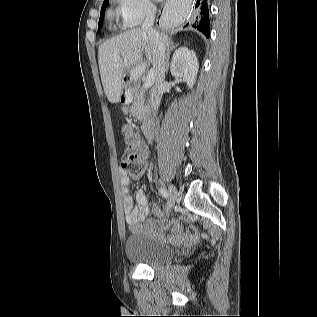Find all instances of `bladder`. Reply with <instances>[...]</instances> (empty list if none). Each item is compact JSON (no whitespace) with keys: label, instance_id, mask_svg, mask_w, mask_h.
<instances>
[{"label":"bladder","instance_id":"1","mask_svg":"<svg viewBox=\"0 0 317 317\" xmlns=\"http://www.w3.org/2000/svg\"><path fill=\"white\" fill-rule=\"evenodd\" d=\"M125 255L129 261L157 266L172 261L176 256V250L146 234L133 232L126 239Z\"/></svg>","mask_w":317,"mask_h":317}]
</instances>
